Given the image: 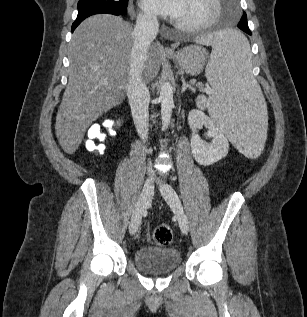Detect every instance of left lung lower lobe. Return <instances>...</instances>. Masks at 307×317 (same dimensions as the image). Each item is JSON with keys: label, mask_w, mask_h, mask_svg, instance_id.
<instances>
[{"label": "left lung lower lobe", "mask_w": 307, "mask_h": 317, "mask_svg": "<svg viewBox=\"0 0 307 317\" xmlns=\"http://www.w3.org/2000/svg\"><path fill=\"white\" fill-rule=\"evenodd\" d=\"M245 13V12H244ZM238 28L243 30L244 32H246L247 34L251 35V31L248 27V23H247V20L245 21H241L239 24H238Z\"/></svg>", "instance_id": "0a47b994"}]
</instances>
